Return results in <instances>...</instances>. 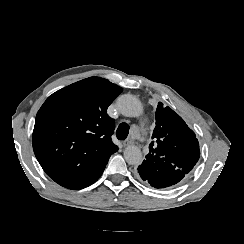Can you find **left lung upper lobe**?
Here are the masks:
<instances>
[{"label":"left lung upper lobe","mask_w":244,"mask_h":244,"mask_svg":"<svg viewBox=\"0 0 244 244\" xmlns=\"http://www.w3.org/2000/svg\"><path fill=\"white\" fill-rule=\"evenodd\" d=\"M156 127L146 159L168 163L167 167L188 174L197 163L200 150L195 133L171 108L161 102L156 109Z\"/></svg>","instance_id":"left-lung-upper-lobe-1"}]
</instances>
